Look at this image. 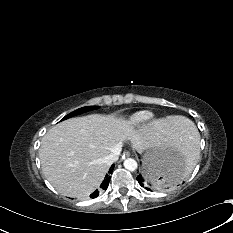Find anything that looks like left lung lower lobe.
<instances>
[{
	"instance_id": "left-lung-lower-lobe-1",
	"label": "left lung lower lobe",
	"mask_w": 233,
	"mask_h": 233,
	"mask_svg": "<svg viewBox=\"0 0 233 233\" xmlns=\"http://www.w3.org/2000/svg\"><path fill=\"white\" fill-rule=\"evenodd\" d=\"M178 161L175 159H163L153 162L143 174L137 176V181L146 190L158 187H165L167 183H172L178 175ZM159 177L158 182L154 177Z\"/></svg>"
}]
</instances>
